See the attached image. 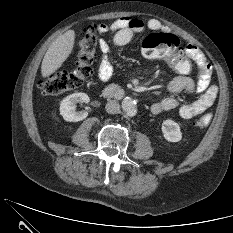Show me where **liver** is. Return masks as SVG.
Masks as SVG:
<instances>
[{
  "mask_svg": "<svg viewBox=\"0 0 233 233\" xmlns=\"http://www.w3.org/2000/svg\"><path fill=\"white\" fill-rule=\"evenodd\" d=\"M75 41V32L68 30L56 38L48 48L41 65V74L44 78L57 71L72 52Z\"/></svg>",
  "mask_w": 233,
  "mask_h": 233,
  "instance_id": "1",
  "label": "liver"
}]
</instances>
